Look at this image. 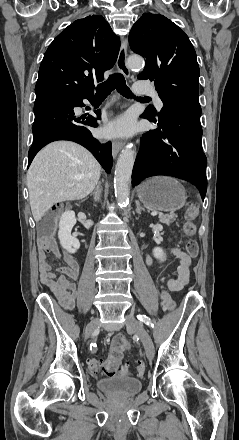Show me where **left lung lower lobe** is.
Instances as JSON below:
<instances>
[{
	"label": "left lung lower lobe",
	"mask_w": 239,
	"mask_h": 440,
	"mask_svg": "<svg viewBox=\"0 0 239 440\" xmlns=\"http://www.w3.org/2000/svg\"><path fill=\"white\" fill-rule=\"evenodd\" d=\"M158 114V129L141 137L132 184L156 175H169L195 184L204 199L207 159L202 150L199 98L178 96L166 100ZM156 123L147 111L141 116Z\"/></svg>",
	"instance_id": "obj_1"
}]
</instances>
